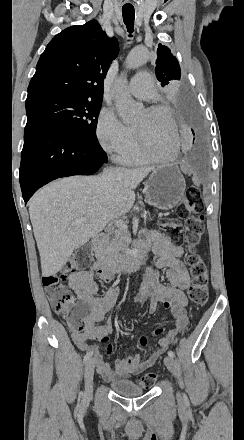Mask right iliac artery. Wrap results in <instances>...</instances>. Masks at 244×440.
Here are the masks:
<instances>
[{"label": "right iliac artery", "mask_w": 244, "mask_h": 440, "mask_svg": "<svg viewBox=\"0 0 244 440\" xmlns=\"http://www.w3.org/2000/svg\"><path fill=\"white\" fill-rule=\"evenodd\" d=\"M92 355H93V352H88V353L84 356V359H83L84 363H87V362L90 360V358L92 357Z\"/></svg>", "instance_id": "right-iliac-artery-1"}]
</instances>
